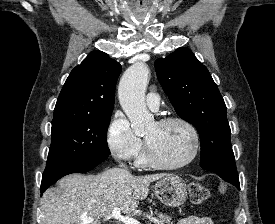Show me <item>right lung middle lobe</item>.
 I'll use <instances>...</instances> for the list:
<instances>
[{
	"instance_id": "right-lung-middle-lobe-1",
	"label": "right lung middle lobe",
	"mask_w": 275,
	"mask_h": 224,
	"mask_svg": "<svg viewBox=\"0 0 275 224\" xmlns=\"http://www.w3.org/2000/svg\"><path fill=\"white\" fill-rule=\"evenodd\" d=\"M111 114L53 118L51 147L44 172L109 155L107 129Z\"/></svg>"
}]
</instances>
